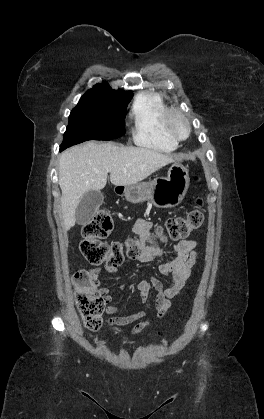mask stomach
<instances>
[{
	"instance_id": "0dacf381",
	"label": "stomach",
	"mask_w": 264,
	"mask_h": 419,
	"mask_svg": "<svg viewBox=\"0 0 264 419\" xmlns=\"http://www.w3.org/2000/svg\"><path fill=\"white\" fill-rule=\"evenodd\" d=\"M189 184L187 168L180 162H174L167 177L125 186L123 194L128 202L134 204L148 201L159 208H172L182 202Z\"/></svg>"
}]
</instances>
